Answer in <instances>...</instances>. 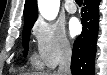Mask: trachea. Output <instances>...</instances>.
I'll use <instances>...</instances> for the list:
<instances>
[{
	"label": "trachea",
	"mask_w": 107,
	"mask_h": 75,
	"mask_svg": "<svg viewBox=\"0 0 107 75\" xmlns=\"http://www.w3.org/2000/svg\"><path fill=\"white\" fill-rule=\"evenodd\" d=\"M76 2L78 3V4H82V0H76Z\"/></svg>",
	"instance_id": "obj_1"
}]
</instances>
